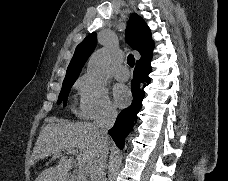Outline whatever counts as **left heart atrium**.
Segmentation results:
<instances>
[{
  "label": "left heart atrium",
  "instance_id": "39dd6f15",
  "mask_svg": "<svg viewBox=\"0 0 228 181\" xmlns=\"http://www.w3.org/2000/svg\"><path fill=\"white\" fill-rule=\"evenodd\" d=\"M114 93L119 103H122L124 98L129 97V91L120 85L115 86Z\"/></svg>",
  "mask_w": 228,
  "mask_h": 181
}]
</instances>
